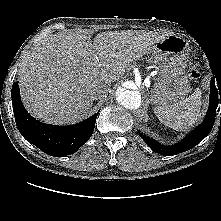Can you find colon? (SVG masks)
I'll return each mask as SVG.
<instances>
[{"label":"colon","mask_w":221,"mask_h":221,"mask_svg":"<svg viewBox=\"0 0 221 221\" xmlns=\"http://www.w3.org/2000/svg\"><path fill=\"white\" fill-rule=\"evenodd\" d=\"M199 61L196 58H192L190 60V71H189V76L192 79H197L199 76V73L196 69V67L198 66Z\"/></svg>","instance_id":"colon-1"}]
</instances>
